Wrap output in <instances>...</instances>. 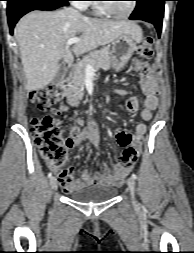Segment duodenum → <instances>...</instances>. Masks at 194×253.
Here are the masks:
<instances>
[{
    "instance_id": "obj_1",
    "label": "duodenum",
    "mask_w": 194,
    "mask_h": 253,
    "mask_svg": "<svg viewBox=\"0 0 194 253\" xmlns=\"http://www.w3.org/2000/svg\"><path fill=\"white\" fill-rule=\"evenodd\" d=\"M66 79H67V75L65 74V75H63V77L61 78V80H60V85H63L65 82H66Z\"/></svg>"
}]
</instances>
